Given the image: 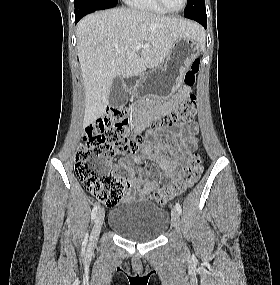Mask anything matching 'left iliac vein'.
<instances>
[{
    "label": "left iliac vein",
    "instance_id": "obj_1",
    "mask_svg": "<svg viewBox=\"0 0 280 285\" xmlns=\"http://www.w3.org/2000/svg\"><path fill=\"white\" fill-rule=\"evenodd\" d=\"M171 223L175 229V231L180 234L181 231V227H180V217H179V213L177 211L176 208H173L171 211Z\"/></svg>",
    "mask_w": 280,
    "mask_h": 285
}]
</instances>
